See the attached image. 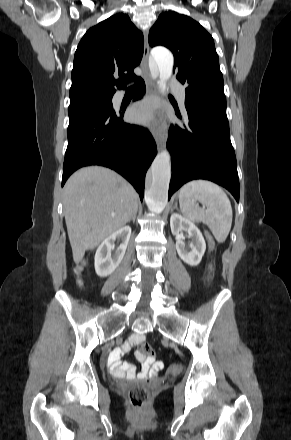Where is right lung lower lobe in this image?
I'll return each mask as SVG.
<instances>
[{
	"instance_id": "1",
	"label": "right lung lower lobe",
	"mask_w": 291,
	"mask_h": 440,
	"mask_svg": "<svg viewBox=\"0 0 291 440\" xmlns=\"http://www.w3.org/2000/svg\"><path fill=\"white\" fill-rule=\"evenodd\" d=\"M134 100L145 92L138 79ZM68 146L63 165L62 186L78 168L109 167L125 177L143 200L145 175L156 155L152 135L137 125L123 122V112L96 102H76L68 108Z\"/></svg>"
}]
</instances>
